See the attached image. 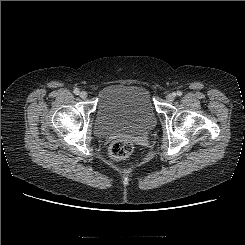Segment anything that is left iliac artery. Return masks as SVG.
<instances>
[{"instance_id": "obj_1", "label": "left iliac artery", "mask_w": 245, "mask_h": 245, "mask_svg": "<svg viewBox=\"0 0 245 245\" xmlns=\"http://www.w3.org/2000/svg\"><path fill=\"white\" fill-rule=\"evenodd\" d=\"M178 96H181L182 95V92L181 91H177L176 93Z\"/></svg>"}]
</instances>
